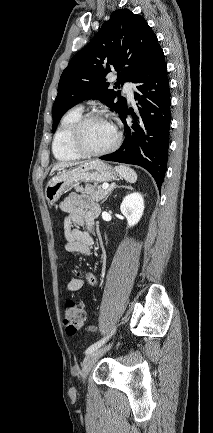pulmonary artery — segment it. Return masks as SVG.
I'll return each instance as SVG.
<instances>
[{"label":"pulmonary artery","instance_id":"1","mask_svg":"<svg viewBox=\"0 0 213 433\" xmlns=\"http://www.w3.org/2000/svg\"><path fill=\"white\" fill-rule=\"evenodd\" d=\"M133 89H134V87H133V84H132V83L126 82V83L124 84L123 90H124V92L126 93L128 99H129L130 101H133V100H134V92H133Z\"/></svg>","mask_w":213,"mask_h":433}]
</instances>
